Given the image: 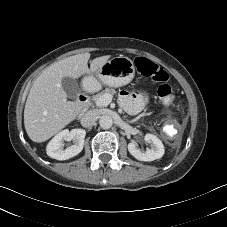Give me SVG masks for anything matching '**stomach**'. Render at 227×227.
Returning a JSON list of instances; mask_svg holds the SVG:
<instances>
[{
	"instance_id": "1",
	"label": "stomach",
	"mask_w": 227,
	"mask_h": 227,
	"mask_svg": "<svg viewBox=\"0 0 227 227\" xmlns=\"http://www.w3.org/2000/svg\"><path fill=\"white\" fill-rule=\"evenodd\" d=\"M135 76L133 61L123 55L114 57L105 62L95 73L88 78L98 79L109 87H121L130 83Z\"/></svg>"
}]
</instances>
